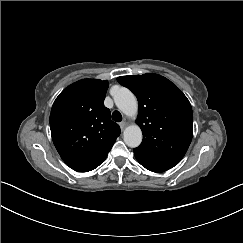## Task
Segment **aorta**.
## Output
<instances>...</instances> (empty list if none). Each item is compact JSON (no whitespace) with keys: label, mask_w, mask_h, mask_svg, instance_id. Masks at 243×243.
Listing matches in <instances>:
<instances>
[{"label":"aorta","mask_w":243,"mask_h":243,"mask_svg":"<svg viewBox=\"0 0 243 243\" xmlns=\"http://www.w3.org/2000/svg\"><path fill=\"white\" fill-rule=\"evenodd\" d=\"M115 86L110 90L115 105L127 116H135L138 110V102L135 95L125 87H119L115 92ZM123 139L127 146L138 147L142 142V131L137 125H130L124 129Z\"/></svg>","instance_id":"aorta-1"}]
</instances>
